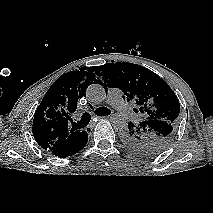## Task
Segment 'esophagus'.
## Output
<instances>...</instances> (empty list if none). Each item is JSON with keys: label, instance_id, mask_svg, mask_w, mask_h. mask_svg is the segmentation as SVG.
<instances>
[{"label": "esophagus", "instance_id": "esophagus-1", "mask_svg": "<svg viewBox=\"0 0 213 213\" xmlns=\"http://www.w3.org/2000/svg\"><path fill=\"white\" fill-rule=\"evenodd\" d=\"M104 117L103 116H96L94 119L96 120H100V119H103ZM94 127V122H92L88 127H87V130H92Z\"/></svg>", "mask_w": 213, "mask_h": 213}]
</instances>
